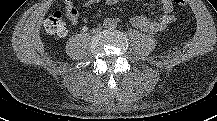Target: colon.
<instances>
[{
  "mask_svg": "<svg viewBox=\"0 0 217 121\" xmlns=\"http://www.w3.org/2000/svg\"><path fill=\"white\" fill-rule=\"evenodd\" d=\"M178 6H185L187 0H171ZM45 29L55 36H64L67 33V26L63 20L61 12H54L45 21Z\"/></svg>",
  "mask_w": 217,
  "mask_h": 121,
  "instance_id": "5ec220e1",
  "label": "colon"
}]
</instances>
